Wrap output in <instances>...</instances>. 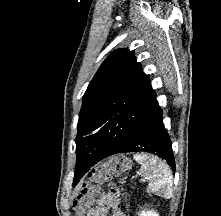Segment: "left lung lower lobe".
<instances>
[{
    "label": "left lung lower lobe",
    "instance_id": "left-lung-lower-lobe-1",
    "mask_svg": "<svg viewBox=\"0 0 221 216\" xmlns=\"http://www.w3.org/2000/svg\"><path fill=\"white\" fill-rule=\"evenodd\" d=\"M126 152H149L165 159L175 171V160L171 140L162 122V110L155 102L147 117L138 126L132 137L119 149L114 150L108 144H100L84 150L79 158V170L74 176L73 186L88 170L102 159Z\"/></svg>",
    "mask_w": 221,
    "mask_h": 216
}]
</instances>
